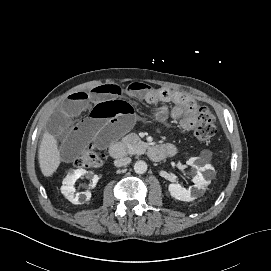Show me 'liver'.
Listing matches in <instances>:
<instances>
[{"label":"liver","mask_w":271,"mask_h":271,"mask_svg":"<svg viewBox=\"0 0 271 271\" xmlns=\"http://www.w3.org/2000/svg\"><path fill=\"white\" fill-rule=\"evenodd\" d=\"M38 157L41 172L45 177L53 175L61 163L57 140L48 131L43 134Z\"/></svg>","instance_id":"6515ba94"}]
</instances>
